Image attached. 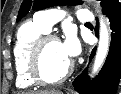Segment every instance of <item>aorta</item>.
Listing matches in <instances>:
<instances>
[{"label":"aorta","instance_id":"obj_1","mask_svg":"<svg viewBox=\"0 0 121 94\" xmlns=\"http://www.w3.org/2000/svg\"><path fill=\"white\" fill-rule=\"evenodd\" d=\"M100 18V37H99V44L98 49L93 65L92 73L95 74L99 71V69L102 67L106 56L108 54L109 45H110V39H109V31L108 28L104 22L103 15H99Z\"/></svg>","mask_w":121,"mask_h":94}]
</instances>
